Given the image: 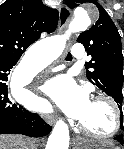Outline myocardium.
Masks as SVG:
<instances>
[{
  "instance_id": "myocardium-1",
  "label": "myocardium",
  "mask_w": 124,
  "mask_h": 149,
  "mask_svg": "<svg viewBox=\"0 0 124 149\" xmlns=\"http://www.w3.org/2000/svg\"><path fill=\"white\" fill-rule=\"evenodd\" d=\"M93 101H103L110 105L112 112H113V116H114L113 129L106 134H98V133H95V132L91 131L90 129H88L85 125H83L80 122V120L78 121V128L84 134H86L92 138L99 139V140H106V139H110V138L116 136L117 133L120 131V128L122 125V111H121L119 105L117 104V102L114 99H112L111 97H109L107 95L95 96L93 98Z\"/></svg>"
}]
</instances>
